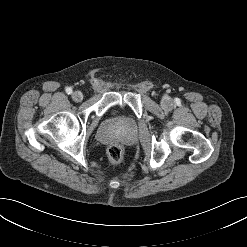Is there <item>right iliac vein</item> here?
<instances>
[{
  "label": "right iliac vein",
  "mask_w": 247,
  "mask_h": 247,
  "mask_svg": "<svg viewBox=\"0 0 247 247\" xmlns=\"http://www.w3.org/2000/svg\"><path fill=\"white\" fill-rule=\"evenodd\" d=\"M72 99H73L75 102H80V101L83 99V94H82V92H80V91H75V92H73V94H72Z\"/></svg>",
  "instance_id": "63e3f726"
}]
</instances>
